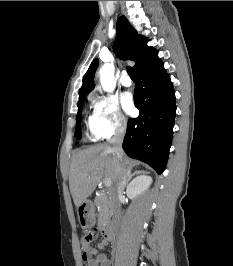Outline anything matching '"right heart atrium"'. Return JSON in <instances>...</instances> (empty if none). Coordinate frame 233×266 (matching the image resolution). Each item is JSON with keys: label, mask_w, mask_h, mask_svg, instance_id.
I'll use <instances>...</instances> for the list:
<instances>
[{"label": "right heart atrium", "mask_w": 233, "mask_h": 266, "mask_svg": "<svg viewBox=\"0 0 233 266\" xmlns=\"http://www.w3.org/2000/svg\"><path fill=\"white\" fill-rule=\"evenodd\" d=\"M127 120L121 112L118 99L113 95H101L94 100L91 133L97 138H110L123 133Z\"/></svg>", "instance_id": "1"}]
</instances>
